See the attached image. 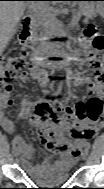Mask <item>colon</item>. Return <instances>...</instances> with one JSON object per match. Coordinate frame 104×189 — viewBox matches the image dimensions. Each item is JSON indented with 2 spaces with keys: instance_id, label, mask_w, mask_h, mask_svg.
<instances>
[{
  "instance_id": "5ec220e1",
  "label": "colon",
  "mask_w": 104,
  "mask_h": 189,
  "mask_svg": "<svg viewBox=\"0 0 104 189\" xmlns=\"http://www.w3.org/2000/svg\"><path fill=\"white\" fill-rule=\"evenodd\" d=\"M83 41L90 44L94 50L101 52L104 50V37L99 34L95 26H88L83 32ZM27 53L21 52L18 55L8 56L5 58L2 68H1V78H0V95L1 102L3 97L9 96L12 89V82L16 78L17 73L27 66ZM92 69L96 73L98 80L101 79V63L98 57L94 56L92 59ZM9 105L12 104L11 98L7 100ZM86 108L93 117H99L103 112V103L99 99H93L86 103ZM57 109L53 106H39L37 108V114L42 118L47 119L50 117V113H54ZM42 140L52 146H61L63 141L59 139L54 132L52 126L39 129ZM96 134V133H95ZM95 136V135H94ZM93 136V137H94Z\"/></svg>"
}]
</instances>
